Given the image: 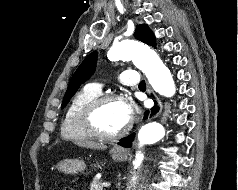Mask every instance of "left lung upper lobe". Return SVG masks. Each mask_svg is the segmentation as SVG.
Segmentation results:
<instances>
[{
  "instance_id": "5c2ea615",
  "label": "left lung upper lobe",
  "mask_w": 238,
  "mask_h": 190,
  "mask_svg": "<svg viewBox=\"0 0 238 190\" xmlns=\"http://www.w3.org/2000/svg\"><path fill=\"white\" fill-rule=\"evenodd\" d=\"M134 36L137 40H140L153 47L156 46L155 36L146 24L137 25ZM96 62L97 52L95 51L88 55L77 68L69 83L61 108H64L70 98L77 92L80 85L84 83L91 75H93L96 68Z\"/></svg>"
}]
</instances>
